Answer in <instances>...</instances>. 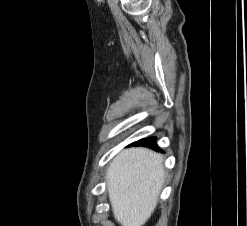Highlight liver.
I'll list each match as a JSON object with an SVG mask.
<instances>
[{"instance_id":"liver-1","label":"liver","mask_w":247,"mask_h":226,"mask_svg":"<svg viewBox=\"0 0 247 226\" xmlns=\"http://www.w3.org/2000/svg\"><path fill=\"white\" fill-rule=\"evenodd\" d=\"M165 179L163 158L143 147L129 148L110 163L107 190L121 226H143L151 217Z\"/></svg>"}]
</instances>
